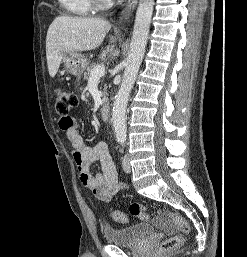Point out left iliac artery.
<instances>
[{"mask_svg": "<svg viewBox=\"0 0 247 257\" xmlns=\"http://www.w3.org/2000/svg\"><path fill=\"white\" fill-rule=\"evenodd\" d=\"M120 142H121V144H124L125 139H121Z\"/></svg>", "mask_w": 247, "mask_h": 257, "instance_id": "left-iliac-artery-1", "label": "left iliac artery"}]
</instances>
